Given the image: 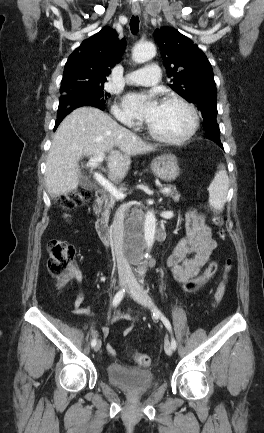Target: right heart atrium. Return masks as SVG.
<instances>
[{"label": "right heart atrium", "mask_w": 264, "mask_h": 433, "mask_svg": "<svg viewBox=\"0 0 264 433\" xmlns=\"http://www.w3.org/2000/svg\"><path fill=\"white\" fill-rule=\"evenodd\" d=\"M113 115L121 123L129 126H134L136 121L132 114L123 106L115 104L112 108Z\"/></svg>", "instance_id": "d8ad5b80"}]
</instances>
